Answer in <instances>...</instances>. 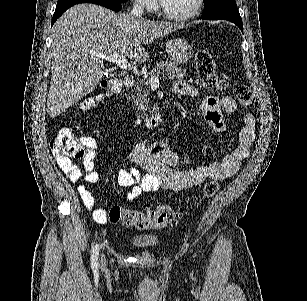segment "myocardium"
Instances as JSON below:
<instances>
[{"mask_svg": "<svg viewBox=\"0 0 307 301\" xmlns=\"http://www.w3.org/2000/svg\"><path fill=\"white\" fill-rule=\"evenodd\" d=\"M202 0H195L192 11H169L163 0H158L153 12H159L160 18H165L166 22H185V18L197 16Z\"/></svg>", "mask_w": 307, "mask_h": 301, "instance_id": "myocardium-1", "label": "myocardium"}]
</instances>
